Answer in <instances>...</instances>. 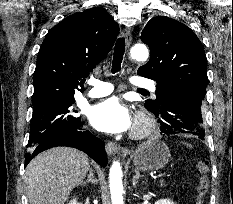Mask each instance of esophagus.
<instances>
[{
	"mask_svg": "<svg viewBox=\"0 0 233 204\" xmlns=\"http://www.w3.org/2000/svg\"><path fill=\"white\" fill-rule=\"evenodd\" d=\"M123 36L125 38L126 41V45L129 47L132 41V34H131V29L130 28H126L123 31ZM106 152L109 155H113L119 152V147L115 142L109 141L106 143L105 146Z\"/></svg>",
	"mask_w": 233,
	"mask_h": 204,
	"instance_id": "esophagus-1",
	"label": "esophagus"
}]
</instances>
